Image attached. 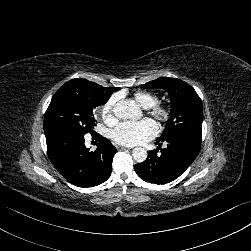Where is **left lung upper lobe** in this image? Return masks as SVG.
<instances>
[{"instance_id":"5c2ea615","label":"left lung upper lobe","mask_w":251,"mask_h":251,"mask_svg":"<svg viewBox=\"0 0 251 251\" xmlns=\"http://www.w3.org/2000/svg\"><path fill=\"white\" fill-rule=\"evenodd\" d=\"M142 87L162 88L170 95L171 117L165 132L157 141H164L178 134L202 137V102L190 85L179 79L161 77L147 82Z\"/></svg>"}]
</instances>
